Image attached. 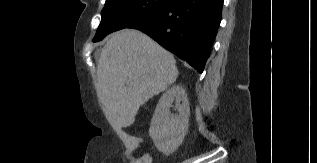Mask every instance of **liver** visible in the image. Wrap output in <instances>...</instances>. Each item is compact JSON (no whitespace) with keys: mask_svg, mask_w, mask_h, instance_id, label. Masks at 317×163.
Masks as SVG:
<instances>
[{"mask_svg":"<svg viewBox=\"0 0 317 163\" xmlns=\"http://www.w3.org/2000/svg\"><path fill=\"white\" fill-rule=\"evenodd\" d=\"M175 59L146 34L123 29L112 34L97 64V95L114 129L132 125L140 106L178 77Z\"/></svg>","mask_w":317,"mask_h":163,"instance_id":"liver-1","label":"liver"}]
</instances>
